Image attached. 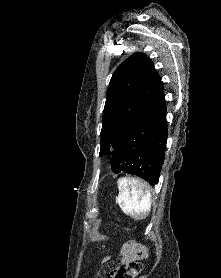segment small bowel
<instances>
[{
    "label": "small bowel",
    "mask_w": 221,
    "mask_h": 278,
    "mask_svg": "<svg viewBox=\"0 0 221 278\" xmlns=\"http://www.w3.org/2000/svg\"><path fill=\"white\" fill-rule=\"evenodd\" d=\"M120 254H121V264L122 266H126L130 261L142 257V256H147V252L146 250L139 246L136 243L133 242H129V243H125L121 250H120ZM109 260V257H105L102 260V263L106 262ZM102 278H116V273H110Z\"/></svg>",
    "instance_id": "1"
}]
</instances>
